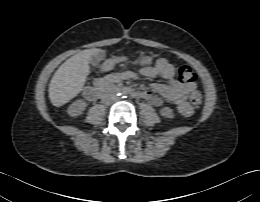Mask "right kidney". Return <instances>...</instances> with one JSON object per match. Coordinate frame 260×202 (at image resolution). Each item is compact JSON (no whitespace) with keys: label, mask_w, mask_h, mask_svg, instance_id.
<instances>
[{"label":"right kidney","mask_w":260,"mask_h":202,"mask_svg":"<svg viewBox=\"0 0 260 202\" xmlns=\"http://www.w3.org/2000/svg\"><path fill=\"white\" fill-rule=\"evenodd\" d=\"M87 103L83 99L76 100L68 108V114L71 117L79 116L86 109Z\"/></svg>","instance_id":"right-kidney-1"}]
</instances>
